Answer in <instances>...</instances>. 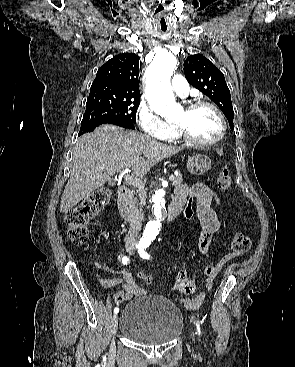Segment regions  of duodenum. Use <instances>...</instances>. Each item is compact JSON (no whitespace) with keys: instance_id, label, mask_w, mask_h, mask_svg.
<instances>
[{"instance_id":"obj_1","label":"duodenum","mask_w":295,"mask_h":367,"mask_svg":"<svg viewBox=\"0 0 295 367\" xmlns=\"http://www.w3.org/2000/svg\"><path fill=\"white\" fill-rule=\"evenodd\" d=\"M117 205L120 215L127 220H135L137 214L130 202V189L122 185L117 190ZM182 201L174 200L168 206V219H174L177 217L183 208Z\"/></svg>"}]
</instances>
